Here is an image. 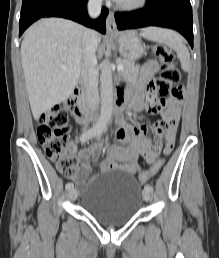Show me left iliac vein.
Wrapping results in <instances>:
<instances>
[{
    "mask_svg": "<svg viewBox=\"0 0 219 258\" xmlns=\"http://www.w3.org/2000/svg\"><path fill=\"white\" fill-rule=\"evenodd\" d=\"M142 196L145 201H150L151 200V191L144 189L142 192Z\"/></svg>",
    "mask_w": 219,
    "mask_h": 258,
    "instance_id": "4c4485c4",
    "label": "left iliac vein"
}]
</instances>
